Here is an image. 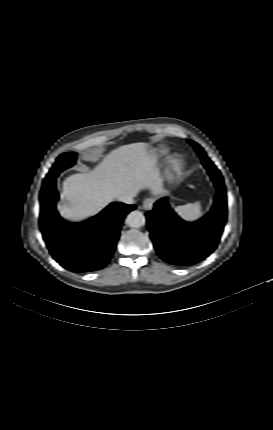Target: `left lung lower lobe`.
<instances>
[{
	"label": "left lung lower lobe",
	"mask_w": 273,
	"mask_h": 430,
	"mask_svg": "<svg viewBox=\"0 0 273 430\" xmlns=\"http://www.w3.org/2000/svg\"><path fill=\"white\" fill-rule=\"evenodd\" d=\"M216 186V197L211 211L201 220L188 223L180 219L168 205L166 198L157 201L154 209L146 212L151 238L158 255L167 263L187 266L208 257L219 243L227 217L224 180L209 158L203 160Z\"/></svg>",
	"instance_id": "1"
}]
</instances>
